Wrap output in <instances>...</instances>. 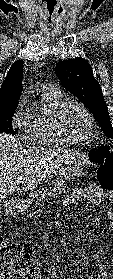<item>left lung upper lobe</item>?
Segmentation results:
<instances>
[{
    "label": "left lung upper lobe",
    "mask_w": 113,
    "mask_h": 279,
    "mask_svg": "<svg viewBox=\"0 0 113 279\" xmlns=\"http://www.w3.org/2000/svg\"><path fill=\"white\" fill-rule=\"evenodd\" d=\"M55 70L63 85L94 115L106 136L113 138V127L102 89L88 61L81 57L60 61Z\"/></svg>",
    "instance_id": "5c2ea615"
}]
</instances>
